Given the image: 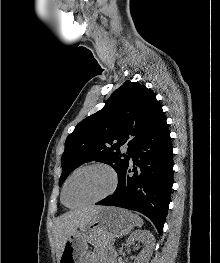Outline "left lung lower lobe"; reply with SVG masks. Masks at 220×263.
Returning a JSON list of instances; mask_svg holds the SVG:
<instances>
[{
  "label": "left lung lower lobe",
  "mask_w": 220,
  "mask_h": 263,
  "mask_svg": "<svg viewBox=\"0 0 220 263\" xmlns=\"http://www.w3.org/2000/svg\"><path fill=\"white\" fill-rule=\"evenodd\" d=\"M173 147L163 118L132 149L116 191L97 205L117 206L146 215L162 234L173 185Z\"/></svg>",
  "instance_id": "obj_1"
}]
</instances>
